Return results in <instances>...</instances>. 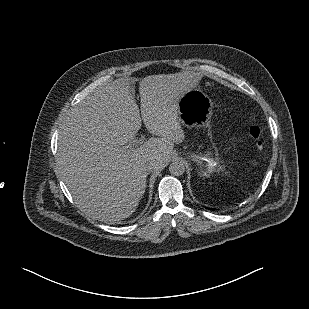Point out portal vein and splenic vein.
<instances>
[{
    "label": "portal vein and splenic vein",
    "instance_id": "portal-vein-and-splenic-vein-1",
    "mask_svg": "<svg viewBox=\"0 0 309 309\" xmlns=\"http://www.w3.org/2000/svg\"><path fill=\"white\" fill-rule=\"evenodd\" d=\"M137 144H141V142H137Z\"/></svg>",
    "mask_w": 309,
    "mask_h": 309
}]
</instances>
